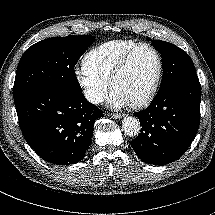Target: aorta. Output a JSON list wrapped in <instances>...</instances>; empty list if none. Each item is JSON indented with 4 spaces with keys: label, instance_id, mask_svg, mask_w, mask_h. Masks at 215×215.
<instances>
[{
    "label": "aorta",
    "instance_id": "1",
    "mask_svg": "<svg viewBox=\"0 0 215 215\" xmlns=\"http://www.w3.org/2000/svg\"><path fill=\"white\" fill-rule=\"evenodd\" d=\"M122 127L124 129V132L128 136H136L138 135L141 126H140V121L139 119L135 117H125L123 122H122Z\"/></svg>",
    "mask_w": 215,
    "mask_h": 215
}]
</instances>
